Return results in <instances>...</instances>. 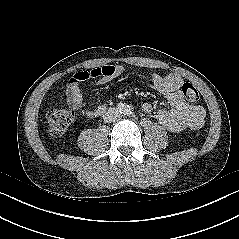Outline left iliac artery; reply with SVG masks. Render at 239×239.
<instances>
[{
    "mask_svg": "<svg viewBox=\"0 0 239 239\" xmlns=\"http://www.w3.org/2000/svg\"><path fill=\"white\" fill-rule=\"evenodd\" d=\"M132 112H131V109L130 108H127L126 109V114H131Z\"/></svg>",
    "mask_w": 239,
    "mask_h": 239,
    "instance_id": "obj_1",
    "label": "left iliac artery"
}]
</instances>
